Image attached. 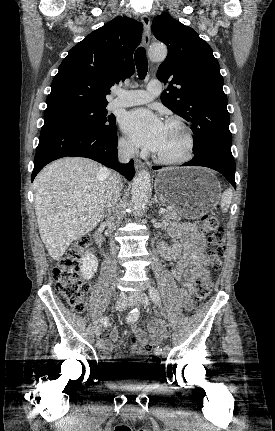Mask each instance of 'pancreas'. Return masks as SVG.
Here are the masks:
<instances>
[{"label":"pancreas","instance_id":"pancreas-1","mask_svg":"<svg viewBox=\"0 0 275 431\" xmlns=\"http://www.w3.org/2000/svg\"><path fill=\"white\" fill-rule=\"evenodd\" d=\"M163 216L166 219H173V220H176V221L180 220V218H181L180 215L177 212L173 211V210H167V212L164 213Z\"/></svg>","mask_w":275,"mask_h":431}]
</instances>
